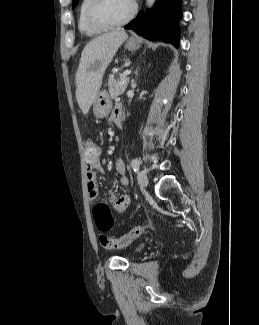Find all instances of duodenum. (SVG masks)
I'll list each match as a JSON object with an SVG mask.
<instances>
[{
    "instance_id": "duodenum-1",
    "label": "duodenum",
    "mask_w": 259,
    "mask_h": 325,
    "mask_svg": "<svg viewBox=\"0 0 259 325\" xmlns=\"http://www.w3.org/2000/svg\"><path fill=\"white\" fill-rule=\"evenodd\" d=\"M115 124H116V126H117L119 129L122 128V119H121V117H117V118L115 119Z\"/></svg>"
}]
</instances>
